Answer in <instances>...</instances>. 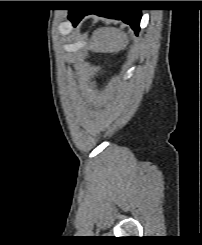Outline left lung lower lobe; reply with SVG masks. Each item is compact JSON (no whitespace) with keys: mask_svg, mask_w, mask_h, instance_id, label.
<instances>
[{"mask_svg":"<svg viewBox=\"0 0 202 245\" xmlns=\"http://www.w3.org/2000/svg\"><path fill=\"white\" fill-rule=\"evenodd\" d=\"M69 20L76 26L79 21L88 14H97L99 16L122 20L124 23L129 24L131 28L138 34L140 29L141 12L133 8H114V9H72L69 10Z\"/></svg>","mask_w":202,"mask_h":245,"instance_id":"0a47b994","label":"left lung lower lobe"}]
</instances>
